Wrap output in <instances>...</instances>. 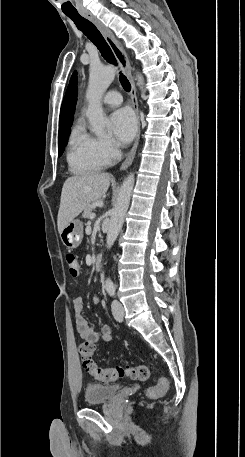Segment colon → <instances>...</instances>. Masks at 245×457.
Here are the masks:
<instances>
[{"mask_svg": "<svg viewBox=\"0 0 245 457\" xmlns=\"http://www.w3.org/2000/svg\"><path fill=\"white\" fill-rule=\"evenodd\" d=\"M66 262L69 273L72 277H78L80 274V265L76 255L73 253L66 254ZM95 345L94 343L85 341L78 347V353L81 361L82 369L90 376L103 381L114 382L123 377H130L140 381L148 380L150 370L146 365L139 366H117L103 368L97 365L94 360ZM169 382L166 378H161L157 386L147 389V395L150 397L158 396L168 390Z\"/></svg>", "mask_w": 245, "mask_h": 457, "instance_id": "obj_1", "label": "colon"}]
</instances>
